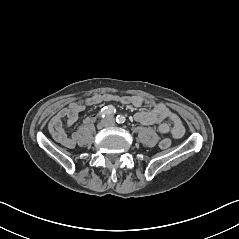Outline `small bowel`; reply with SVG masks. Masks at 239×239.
I'll use <instances>...</instances> for the list:
<instances>
[{
    "label": "small bowel",
    "mask_w": 239,
    "mask_h": 239,
    "mask_svg": "<svg viewBox=\"0 0 239 239\" xmlns=\"http://www.w3.org/2000/svg\"><path fill=\"white\" fill-rule=\"evenodd\" d=\"M103 102H120L134 107L150 106L149 111H139L134 118L144 126L158 124V131L162 134L170 133L174 138H181L185 133V128L178 117L167 105L147 100L141 96L105 93L94 94L84 100V102H73L64 109L60 110L50 121L49 132L52 137L61 145L73 148L76 145V135L67 136L65 126L73 124L86 105H95ZM90 122V119H86Z\"/></svg>",
    "instance_id": "c3829d8e"
}]
</instances>
